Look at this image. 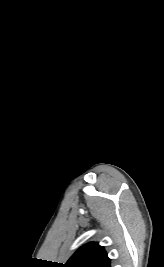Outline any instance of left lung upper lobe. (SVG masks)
Returning <instances> with one entry per match:
<instances>
[{"mask_svg":"<svg viewBox=\"0 0 164 267\" xmlns=\"http://www.w3.org/2000/svg\"><path fill=\"white\" fill-rule=\"evenodd\" d=\"M110 259L104 248L96 242L79 248L67 261L65 267H109Z\"/></svg>","mask_w":164,"mask_h":267,"instance_id":"5c2ea615","label":"left lung upper lobe"}]
</instances>
